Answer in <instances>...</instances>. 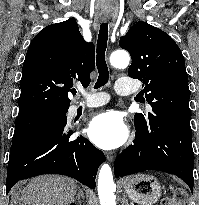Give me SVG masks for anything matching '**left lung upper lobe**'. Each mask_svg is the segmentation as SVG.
Returning <instances> with one entry per match:
<instances>
[{
    "instance_id": "obj_1",
    "label": "left lung upper lobe",
    "mask_w": 199,
    "mask_h": 205,
    "mask_svg": "<svg viewBox=\"0 0 199 205\" xmlns=\"http://www.w3.org/2000/svg\"><path fill=\"white\" fill-rule=\"evenodd\" d=\"M132 58L128 75L143 81L152 112L136 113L134 124L147 127L159 113L190 119V91L180 48L164 31L140 21L120 38Z\"/></svg>"
}]
</instances>
